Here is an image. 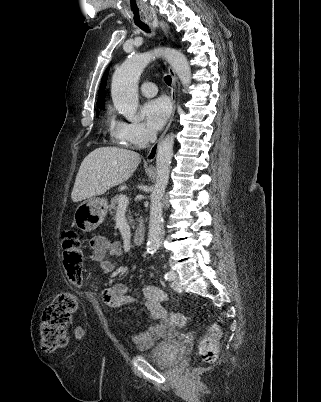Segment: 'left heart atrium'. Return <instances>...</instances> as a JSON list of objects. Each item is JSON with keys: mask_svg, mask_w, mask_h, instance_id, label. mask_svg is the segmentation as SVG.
<instances>
[{"mask_svg": "<svg viewBox=\"0 0 321 402\" xmlns=\"http://www.w3.org/2000/svg\"><path fill=\"white\" fill-rule=\"evenodd\" d=\"M170 111V103L163 97L147 101L142 108L146 124L153 132L162 128L170 115Z\"/></svg>", "mask_w": 321, "mask_h": 402, "instance_id": "obj_1", "label": "left heart atrium"}]
</instances>
